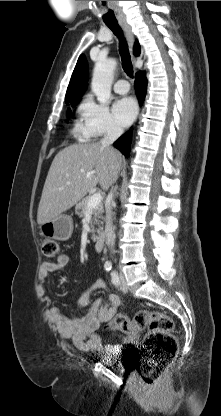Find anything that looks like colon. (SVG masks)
<instances>
[{"label":"colon","mask_w":221,"mask_h":416,"mask_svg":"<svg viewBox=\"0 0 221 416\" xmlns=\"http://www.w3.org/2000/svg\"><path fill=\"white\" fill-rule=\"evenodd\" d=\"M58 250V243L55 240H44L42 244L44 256L54 257ZM107 329L129 336H137L146 330L140 349V375L146 384L156 382L178 349V340L174 334V322L164 312L140 310L132 318L116 315L108 322Z\"/></svg>","instance_id":"1"}]
</instances>
